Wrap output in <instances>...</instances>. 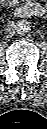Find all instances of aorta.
<instances>
[{"mask_svg": "<svg viewBox=\"0 0 47 129\" xmlns=\"http://www.w3.org/2000/svg\"><path fill=\"white\" fill-rule=\"evenodd\" d=\"M15 30L18 34L24 35L31 30V25L26 20H21L16 23Z\"/></svg>", "mask_w": 47, "mask_h": 129, "instance_id": "obj_1", "label": "aorta"}]
</instances>
